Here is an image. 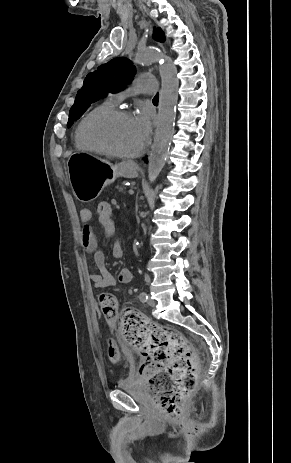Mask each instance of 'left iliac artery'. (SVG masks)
Returning a JSON list of instances; mask_svg holds the SVG:
<instances>
[{"instance_id":"1","label":"left iliac artery","mask_w":291,"mask_h":463,"mask_svg":"<svg viewBox=\"0 0 291 463\" xmlns=\"http://www.w3.org/2000/svg\"><path fill=\"white\" fill-rule=\"evenodd\" d=\"M139 299L141 302H146L147 299H148V295L146 292H141L140 295H139Z\"/></svg>"}]
</instances>
